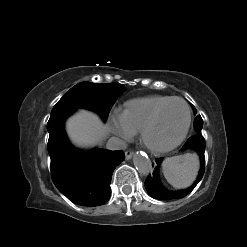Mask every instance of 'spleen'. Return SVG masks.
<instances>
[{"label":"spleen","mask_w":247,"mask_h":247,"mask_svg":"<svg viewBox=\"0 0 247 247\" xmlns=\"http://www.w3.org/2000/svg\"><path fill=\"white\" fill-rule=\"evenodd\" d=\"M167 182L175 188H186L196 179L199 160L196 154L166 158L162 164Z\"/></svg>","instance_id":"3e777b00"}]
</instances>
